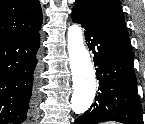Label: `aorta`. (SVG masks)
I'll list each match as a JSON object with an SVG mask.
<instances>
[{
    "label": "aorta",
    "mask_w": 145,
    "mask_h": 124,
    "mask_svg": "<svg viewBox=\"0 0 145 124\" xmlns=\"http://www.w3.org/2000/svg\"><path fill=\"white\" fill-rule=\"evenodd\" d=\"M83 37L79 25L74 24L68 28L67 43L73 79L71 109L76 114H83L90 108L96 93L95 71Z\"/></svg>",
    "instance_id": "1"
}]
</instances>
